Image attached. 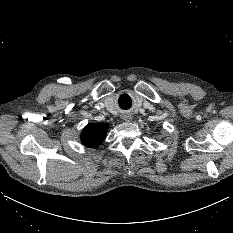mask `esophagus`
Here are the masks:
<instances>
[{
  "instance_id": "1",
  "label": "esophagus",
  "mask_w": 233,
  "mask_h": 233,
  "mask_svg": "<svg viewBox=\"0 0 233 233\" xmlns=\"http://www.w3.org/2000/svg\"><path fill=\"white\" fill-rule=\"evenodd\" d=\"M130 119H131V116H130V115L124 117V120H127V121H128V120H130Z\"/></svg>"
}]
</instances>
